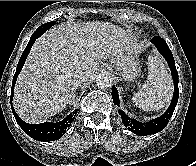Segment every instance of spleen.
<instances>
[{
  "label": "spleen",
  "mask_w": 196,
  "mask_h": 166,
  "mask_svg": "<svg viewBox=\"0 0 196 166\" xmlns=\"http://www.w3.org/2000/svg\"><path fill=\"white\" fill-rule=\"evenodd\" d=\"M148 77L142 87L134 94L132 100L143 110H159L170 102L173 87L170 76L161 59L148 57Z\"/></svg>",
  "instance_id": "3e777b00"
}]
</instances>
